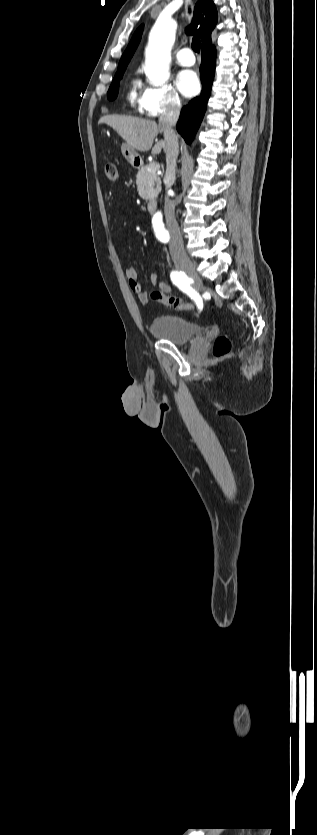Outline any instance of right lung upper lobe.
Listing matches in <instances>:
<instances>
[{"mask_svg":"<svg viewBox=\"0 0 317 835\" xmlns=\"http://www.w3.org/2000/svg\"><path fill=\"white\" fill-rule=\"evenodd\" d=\"M218 20V13L212 0H199L194 9V18L187 28L188 34H198L202 42L211 39L212 32ZM143 25H141L132 36V39L122 55L118 68L126 66L133 56L141 39Z\"/></svg>","mask_w":317,"mask_h":835,"instance_id":"cb5924a9","label":"right lung upper lobe"}]
</instances>
